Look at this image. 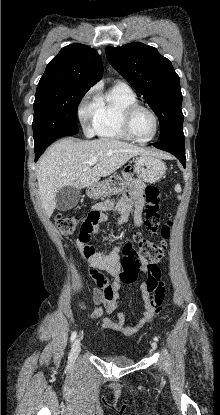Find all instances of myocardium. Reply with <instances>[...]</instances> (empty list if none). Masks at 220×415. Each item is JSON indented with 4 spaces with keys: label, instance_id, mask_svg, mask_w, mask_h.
<instances>
[{
    "label": "myocardium",
    "instance_id": "1",
    "mask_svg": "<svg viewBox=\"0 0 220 415\" xmlns=\"http://www.w3.org/2000/svg\"><path fill=\"white\" fill-rule=\"evenodd\" d=\"M139 109H143V110L147 111L148 113H150L153 120H154V125H155L154 133L147 139L137 138L133 134L132 129H131L132 116ZM122 127H123V130L126 133V135L131 140H133L135 142H138V143H147V142H150L151 140H153L157 136L158 131H159V119H158L157 114L155 113V111L152 108H150L146 105H143L141 103L136 102V103H132V104L128 105L124 109L123 114H122Z\"/></svg>",
    "mask_w": 220,
    "mask_h": 415
}]
</instances>
